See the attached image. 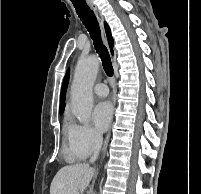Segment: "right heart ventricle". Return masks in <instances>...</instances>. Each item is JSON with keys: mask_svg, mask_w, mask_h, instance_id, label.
I'll return each mask as SVG.
<instances>
[{"mask_svg": "<svg viewBox=\"0 0 201 194\" xmlns=\"http://www.w3.org/2000/svg\"><path fill=\"white\" fill-rule=\"evenodd\" d=\"M69 126H70V125H67V126H66V129H65L66 135L68 134ZM68 158H69L70 160L81 159L80 157L71 154L69 151H68Z\"/></svg>", "mask_w": 201, "mask_h": 194, "instance_id": "1", "label": "right heart ventricle"}]
</instances>
